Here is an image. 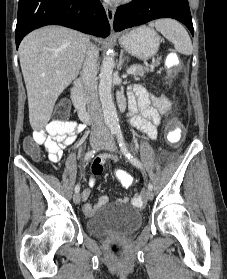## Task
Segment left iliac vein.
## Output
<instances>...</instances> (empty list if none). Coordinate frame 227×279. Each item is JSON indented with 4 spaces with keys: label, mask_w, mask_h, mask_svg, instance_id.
Returning a JSON list of instances; mask_svg holds the SVG:
<instances>
[{
    "label": "left iliac vein",
    "mask_w": 227,
    "mask_h": 279,
    "mask_svg": "<svg viewBox=\"0 0 227 279\" xmlns=\"http://www.w3.org/2000/svg\"><path fill=\"white\" fill-rule=\"evenodd\" d=\"M102 147L106 150L116 152V144L114 140L107 139L105 143H103ZM146 197L148 200H152L154 197L153 191L148 189L146 191Z\"/></svg>",
    "instance_id": "obj_1"
}]
</instances>
